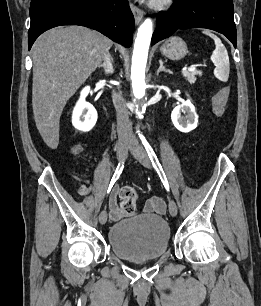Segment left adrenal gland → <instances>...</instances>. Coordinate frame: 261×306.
<instances>
[{
	"mask_svg": "<svg viewBox=\"0 0 261 306\" xmlns=\"http://www.w3.org/2000/svg\"><path fill=\"white\" fill-rule=\"evenodd\" d=\"M159 69L157 70V76L159 75L160 72H168V73H172L169 69H166L163 65V61L162 60H159Z\"/></svg>",
	"mask_w": 261,
	"mask_h": 306,
	"instance_id": "1",
	"label": "left adrenal gland"
}]
</instances>
